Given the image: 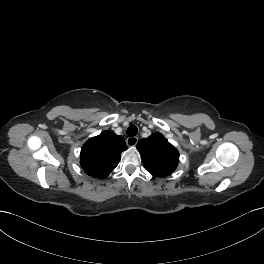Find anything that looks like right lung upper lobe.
Segmentation results:
<instances>
[{"instance_id":"right-lung-upper-lobe-1","label":"right lung upper lobe","mask_w":264,"mask_h":264,"mask_svg":"<svg viewBox=\"0 0 264 264\" xmlns=\"http://www.w3.org/2000/svg\"><path fill=\"white\" fill-rule=\"evenodd\" d=\"M124 138L111 131L89 139L81 149V167L93 177L104 179L121 159L122 151L126 150Z\"/></svg>"}]
</instances>
